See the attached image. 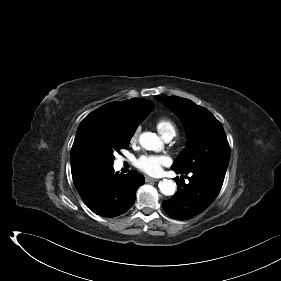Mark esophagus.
<instances>
[{"instance_id": "1", "label": "esophagus", "mask_w": 281, "mask_h": 281, "mask_svg": "<svg viewBox=\"0 0 281 281\" xmlns=\"http://www.w3.org/2000/svg\"><path fill=\"white\" fill-rule=\"evenodd\" d=\"M145 180H146V182H157L158 181V179L152 178V177H148V176L145 177Z\"/></svg>"}]
</instances>
